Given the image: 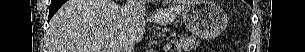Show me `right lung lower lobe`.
<instances>
[{"label": "right lung lower lobe", "mask_w": 305, "mask_h": 52, "mask_svg": "<svg viewBox=\"0 0 305 52\" xmlns=\"http://www.w3.org/2000/svg\"><path fill=\"white\" fill-rule=\"evenodd\" d=\"M65 0H52L49 10V18L48 21L52 18V16L56 13V11L65 3Z\"/></svg>", "instance_id": "1"}]
</instances>
